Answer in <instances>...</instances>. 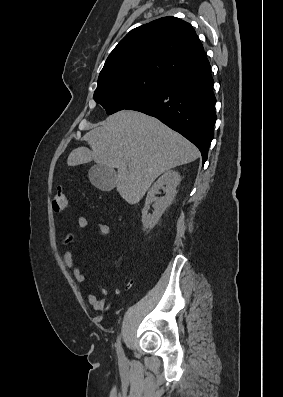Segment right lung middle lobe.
<instances>
[{"mask_svg": "<svg viewBox=\"0 0 283 397\" xmlns=\"http://www.w3.org/2000/svg\"><path fill=\"white\" fill-rule=\"evenodd\" d=\"M166 82L158 77L140 74L112 77L98 81L93 98L110 115L140 101Z\"/></svg>", "mask_w": 283, "mask_h": 397, "instance_id": "1", "label": "right lung middle lobe"}]
</instances>
